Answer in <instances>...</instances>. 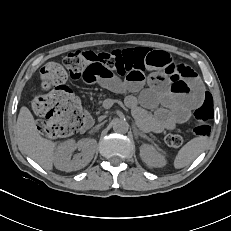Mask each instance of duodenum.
Wrapping results in <instances>:
<instances>
[{
	"label": "duodenum",
	"mask_w": 231,
	"mask_h": 231,
	"mask_svg": "<svg viewBox=\"0 0 231 231\" xmlns=\"http://www.w3.org/2000/svg\"><path fill=\"white\" fill-rule=\"evenodd\" d=\"M93 125V119L88 112H84L82 131L88 130Z\"/></svg>",
	"instance_id": "1"
}]
</instances>
